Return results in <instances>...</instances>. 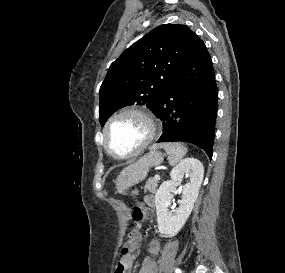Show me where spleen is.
I'll use <instances>...</instances> for the list:
<instances>
[{"instance_id":"3e777b00","label":"spleen","mask_w":285,"mask_h":273,"mask_svg":"<svg viewBox=\"0 0 285 273\" xmlns=\"http://www.w3.org/2000/svg\"><path fill=\"white\" fill-rule=\"evenodd\" d=\"M163 148L168 154L170 165L174 166L179 163L187 153V148L178 142H167L154 145L152 149Z\"/></svg>"}]
</instances>
